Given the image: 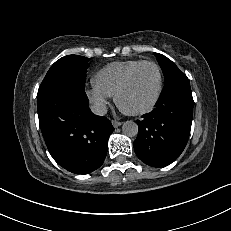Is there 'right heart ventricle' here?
<instances>
[{
	"label": "right heart ventricle",
	"instance_id": "e07e8e85",
	"mask_svg": "<svg viewBox=\"0 0 231 231\" xmlns=\"http://www.w3.org/2000/svg\"><path fill=\"white\" fill-rule=\"evenodd\" d=\"M143 60L116 61L101 68L94 76V84L106 94L115 95L127 73Z\"/></svg>",
	"mask_w": 231,
	"mask_h": 231
}]
</instances>
